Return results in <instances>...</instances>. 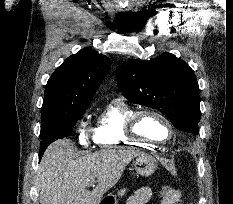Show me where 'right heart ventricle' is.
<instances>
[{"mask_svg": "<svg viewBox=\"0 0 233 204\" xmlns=\"http://www.w3.org/2000/svg\"><path fill=\"white\" fill-rule=\"evenodd\" d=\"M134 109L121 99H113L103 109L94 127V142L101 148L124 146L146 148L148 143L128 136L126 126Z\"/></svg>", "mask_w": 233, "mask_h": 204, "instance_id": "1", "label": "right heart ventricle"}]
</instances>
